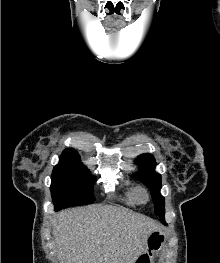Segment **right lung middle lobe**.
Wrapping results in <instances>:
<instances>
[{
    "label": "right lung middle lobe",
    "mask_w": 220,
    "mask_h": 263,
    "mask_svg": "<svg viewBox=\"0 0 220 263\" xmlns=\"http://www.w3.org/2000/svg\"><path fill=\"white\" fill-rule=\"evenodd\" d=\"M51 179L50 189L56 210L95 201L94 177H91L89 170L80 163L79 155L62 154Z\"/></svg>",
    "instance_id": "obj_1"
}]
</instances>
